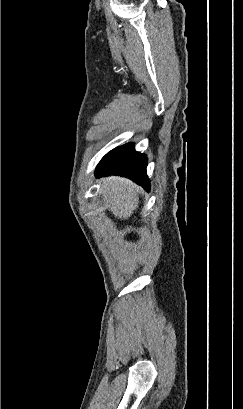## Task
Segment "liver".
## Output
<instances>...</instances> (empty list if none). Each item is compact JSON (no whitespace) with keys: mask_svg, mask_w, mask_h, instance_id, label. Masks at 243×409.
<instances>
[{"mask_svg":"<svg viewBox=\"0 0 243 409\" xmlns=\"http://www.w3.org/2000/svg\"><path fill=\"white\" fill-rule=\"evenodd\" d=\"M101 192L106 205H110V211L118 219H127L138 208L139 187L126 178H103Z\"/></svg>","mask_w":243,"mask_h":409,"instance_id":"6515ba94","label":"liver"}]
</instances>
